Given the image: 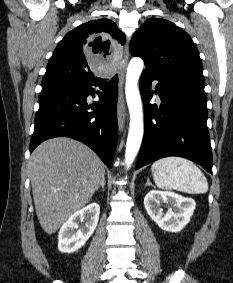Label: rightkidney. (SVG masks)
I'll return each instance as SVG.
<instances>
[{
    "mask_svg": "<svg viewBox=\"0 0 233 283\" xmlns=\"http://www.w3.org/2000/svg\"><path fill=\"white\" fill-rule=\"evenodd\" d=\"M99 214L100 206L97 203H91L71 215L59 231V251L73 253L79 250L96 229Z\"/></svg>",
    "mask_w": 233,
    "mask_h": 283,
    "instance_id": "ca27d5eb",
    "label": "right kidney"
}]
</instances>
